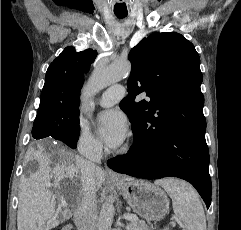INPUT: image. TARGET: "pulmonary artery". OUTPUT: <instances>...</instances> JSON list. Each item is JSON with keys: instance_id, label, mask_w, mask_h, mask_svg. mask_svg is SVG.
<instances>
[{"instance_id": "pulmonary-artery-1", "label": "pulmonary artery", "mask_w": 241, "mask_h": 230, "mask_svg": "<svg viewBox=\"0 0 241 230\" xmlns=\"http://www.w3.org/2000/svg\"><path fill=\"white\" fill-rule=\"evenodd\" d=\"M126 95V89L122 85L113 86L107 89L99 99V104L102 107H110L115 102L121 100Z\"/></svg>"}]
</instances>
